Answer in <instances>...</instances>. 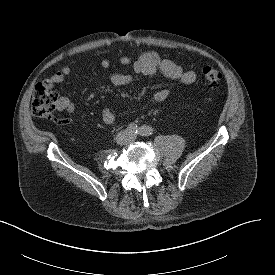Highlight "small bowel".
I'll return each mask as SVG.
<instances>
[{"instance_id":"1","label":"small bowel","mask_w":275,"mask_h":275,"mask_svg":"<svg viewBox=\"0 0 275 275\" xmlns=\"http://www.w3.org/2000/svg\"><path fill=\"white\" fill-rule=\"evenodd\" d=\"M118 62L123 66L132 64L133 71L143 76H151L159 73L166 78L179 80L184 85H191L196 80V75L193 71L186 69L173 61L162 59L157 53L152 51L142 53L133 62L128 56H121ZM100 65L103 69H108L110 67V61L108 59H103L101 60ZM71 74L72 69L70 67H63L50 76L45 81V84L49 88L53 87L70 77ZM109 80L115 86H127L133 81V77L127 73L113 72L110 73ZM169 94L170 90L163 87L154 92L153 99L155 101H163L169 96ZM57 109L67 113H73L74 105L69 99L61 97ZM101 117L103 122L107 125H111L115 122V115L109 108H104L102 110Z\"/></svg>"}]
</instances>
